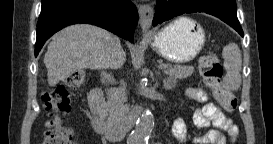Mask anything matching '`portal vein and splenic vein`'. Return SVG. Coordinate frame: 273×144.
<instances>
[{"instance_id":"obj_1","label":"portal vein and splenic vein","mask_w":273,"mask_h":144,"mask_svg":"<svg viewBox=\"0 0 273 144\" xmlns=\"http://www.w3.org/2000/svg\"><path fill=\"white\" fill-rule=\"evenodd\" d=\"M158 68L161 69V70H164V69H166V65L165 64H161V65H159ZM103 76H104V78H107L106 75H103Z\"/></svg>"}]
</instances>
